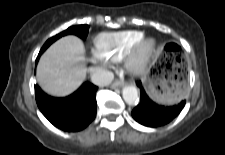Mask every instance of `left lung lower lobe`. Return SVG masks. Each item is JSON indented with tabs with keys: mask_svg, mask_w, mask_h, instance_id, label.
I'll list each match as a JSON object with an SVG mask.
<instances>
[{
	"mask_svg": "<svg viewBox=\"0 0 225 155\" xmlns=\"http://www.w3.org/2000/svg\"><path fill=\"white\" fill-rule=\"evenodd\" d=\"M140 88V103L133 109L132 116L140 124L146 127H160L171 122L179 115L185 105L184 95L179 104L165 107L153 102L145 93L142 84L137 83ZM179 100V101H180Z\"/></svg>",
	"mask_w": 225,
	"mask_h": 155,
	"instance_id": "0a47b994",
	"label": "left lung lower lobe"
}]
</instances>
